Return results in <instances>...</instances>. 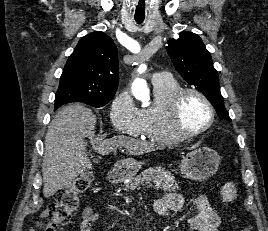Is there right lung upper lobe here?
<instances>
[{
    "instance_id": "cb5924a9",
    "label": "right lung upper lobe",
    "mask_w": 268,
    "mask_h": 231,
    "mask_svg": "<svg viewBox=\"0 0 268 231\" xmlns=\"http://www.w3.org/2000/svg\"><path fill=\"white\" fill-rule=\"evenodd\" d=\"M118 74V51L113 40L101 31L92 32L69 56L55 99L57 103H70L113 98Z\"/></svg>"
}]
</instances>
